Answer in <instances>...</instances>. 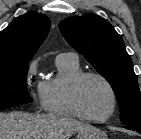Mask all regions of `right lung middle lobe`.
Listing matches in <instances>:
<instances>
[{"label": "right lung middle lobe", "mask_w": 141, "mask_h": 139, "mask_svg": "<svg viewBox=\"0 0 141 139\" xmlns=\"http://www.w3.org/2000/svg\"><path fill=\"white\" fill-rule=\"evenodd\" d=\"M26 64L0 65V110L32 102L27 91Z\"/></svg>", "instance_id": "dd1d6c3e"}]
</instances>
